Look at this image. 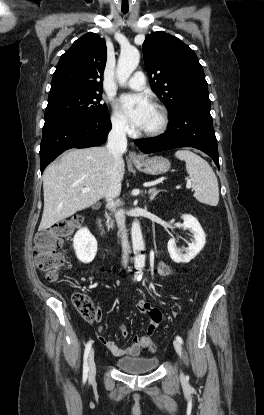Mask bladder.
Listing matches in <instances>:
<instances>
[{"instance_id":"bladder-1","label":"bladder","mask_w":264,"mask_h":415,"mask_svg":"<svg viewBox=\"0 0 264 415\" xmlns=\"http://www.w3.org/2000/svg\"><path fill=\"white\" fill-rule=\"evenodd\" d=\"M116 366L128 373H145L155 370L159 365L158 358L124 357L116 360Z\"/></svg>"}]
</instances>
